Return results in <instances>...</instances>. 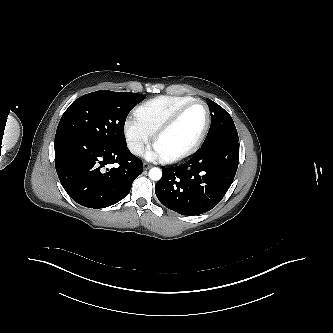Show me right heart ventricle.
<instances>
[{"instance_id":"e07e8e85","label":"right heart ventricle","mask_w":333,"mask_h":333,"mask_svg":"<svg viewBox=\"0 0 333 333\" xmlns=\"http://www.w3.org/2000/svg\"><path fill=\"white\" fill-rule=\"evenodd\" d=\"M194 100L189 96L162 95L154 97L135 110V117L152 134L166 121L179 107Z\"/></svg>"}]
</instances>
